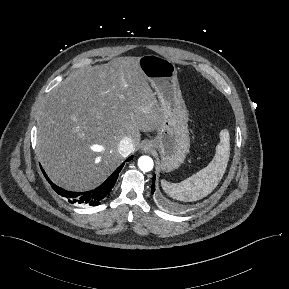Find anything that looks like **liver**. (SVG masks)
I'll list each match as a JSON object with an SVG mask.
<instances>
[{"label": "liver", "instance_id": "liver-1", "mask_svg": "<svg viewBox=\"0 0 289 289\" xmlns=\"http://www.w3.org/2000/svg\"><path fill=\"white\" fill-rule=\"evenodd\" d=\"M138 57H118L67 77L37 118V155L50 179L70 191L99 186L122 163L124 137L158 130L163 109Z\"/></svg>", "mask_w": 289, "mask_h": 289}]
</instances>
